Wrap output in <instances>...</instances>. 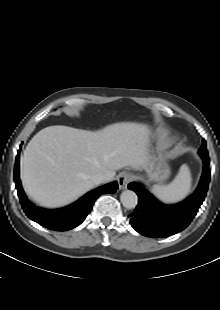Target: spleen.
<instances>
[{"label":"spleen","mask_w":220,"mask_h":310,"mask_svg":"<svg viewBox=\"0 0 220 310\" xmlns=\"http://www.w3.org/2000/svg\"><path fill=\"white\" fill-rule=\"evenodd\" d=\"M191 174L186 165H182L175 179L167 185H155L152 192L164 203H175L185 198L191 188Z\"/></svg>","instance_id":"obj_1"}]
</instances>
